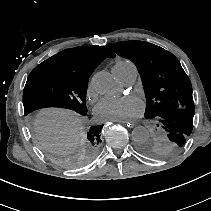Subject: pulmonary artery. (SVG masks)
Returning <instances> with one entry per match:
<instances>
[{"instance_id":"pulmonary-artery-1","label":"pulmonary artery","mask_w":211,"mask_h":211,"mask_svg":"<svg viewBox=\"0 0 211 211\" xmlns=\"http://www.w3.org/2000/svg\"><path fill=\"white\" fill-rule=\"evenodd\" d=\"M136 78H137V69L135 68L125 73L120 79L124 84L130 85L135 82Z\"/></svg>"}]
</instances>
